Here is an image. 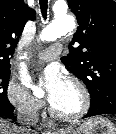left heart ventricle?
Masks as SVG:
<instances>
[{
  "instance_id": "left-heart-ventricle-1",
  "label": "left heart ventricle",
  "mask_w": 116,
  "mask_h": 134,
  "mask_svg": "<svg viewBox=\"0 0 116 134\" xmlns=\"http://www.w3.org/2000/svg\"><path fill=\"white\" fill-rule=\"evenodd\" d=\"M80 105V98L76 90L70 85H66L62 97L53 105L58 111L63 113H73Z\"/></svg>"
}]
</instances>
